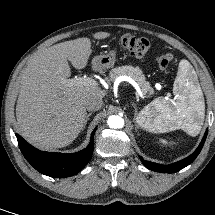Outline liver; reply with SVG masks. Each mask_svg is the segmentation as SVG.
Masks as SVG:
<instances>
[{
  "mask_svg": "<svg viewBox=\"0 0 215 215\" xmlns=\"http://www.w3.org/2000/svg\"><path fill=\"white\" fill-rule=\"evenodd\" d=\"M107 32L93 34L105 39ZM92 53L89 38L55 44L36 52L23 71L16 105L18 131L39 148H61L71 144L84 128L85 101L103 98L98 86H68V60L76 69L87 66Z\"/></svg>",
  "mask_w": 215,
  "mask_h": 215,
  "instance_id": "obj_1",
  "label": "liver"
}]
</instances>
